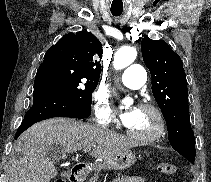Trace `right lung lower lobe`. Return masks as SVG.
<instances>
[{
    "mask_svg": "<svg viewBox=\"0 0 211 182\" xmlns=\"http://www.w3.org/2000/svg\"><path fill=\"white\" fill-rule=\"evenodd\" d=\"M33 106L25 114L15 139L34 123L53 117L86 118L91 108L78 103L71 95L58 89L42 75L34 81Z\"/></svg>",
    "mask_w": 211,
    "mask_h": 182,
    "instance_id": "1",
    "label": "right lung lower lobe"
}]
</instances>
